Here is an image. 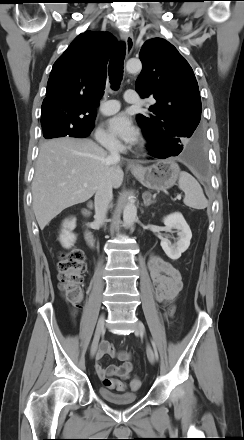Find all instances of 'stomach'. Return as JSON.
I'll return each instance as SVG.
<instances>
[{"instance_id": "stomach-1", "label": "stomach", "mask_w": 244, "mask_h": 440, "mask_svg": "<svg viewBox=\"0 0 244 440\" xmlns=\"http://www.w3.org/2000/svg\"><path fill=\"white\" fill-rule=\"evenodd\" d=\"M132 174L145 187L157 191L171 188L180 175V168L173 159L159 160L151 166L131 169Z\"/></svg>"}]
</instances>
